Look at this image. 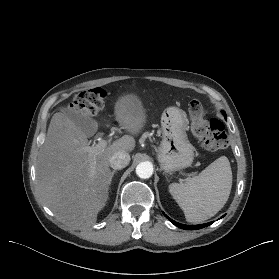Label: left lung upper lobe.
<instances>
[{
  "label": "left lung upper lobe",
  "mask_w": 279,
  "mask_h": 279,
  "mask_svg": "<svg viewBox=\"0 0 279 279\" xmlns=\"http://www.w3.org/2000/svg\"><path fill=\"white\" fill-rule=\"evenodd\" d=\"M222 113H223V115L225 116V118H226V113L224 112V111H222Z\"/></svg>",
  "instance_id": "5c2ea615"
}]
</instances>
